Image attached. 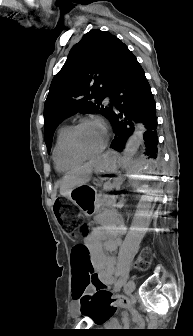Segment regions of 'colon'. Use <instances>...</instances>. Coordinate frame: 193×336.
<instances>
[{
	"instance_id": "5ec220e1",
	"label": "colon",
	"mask_w": 193,
	"mask_h": 336,
	"mask_svg": "<svg viewBox=\"0 0 193 336\" xmlns=\"http://www.w3.org/2000/svg\"><path fill=\"white\" fill-rule=\"evenodd\" d=\"M57 216L60 223L63 225L67 232H73L77 227L83 236H87L90 232V227L81 222L80 214L76 211L74 205L67 199H58L55 203ZM72 267L75 273L74 284V297L81 303L82 311L89 309L90 303H92L98 295L108 299V292L101 287L102 282L97 279L94 283L96 289L93 293L86 294L85 288L90 284L92 266L89 260V255L84 245L76 246L72 251ZM150 263V252L145 251L138 264L140 267H146ZM116 300L127 304V298L119 296ZM113 309V307H111ZM112 313V312H111Z\"/></svg>"
}]
</instances>
